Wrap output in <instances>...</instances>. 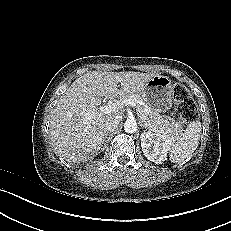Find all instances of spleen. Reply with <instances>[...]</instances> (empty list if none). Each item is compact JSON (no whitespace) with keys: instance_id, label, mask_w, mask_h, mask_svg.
Segmentation results:
<instances>
[{"instance_id":"1","label":"spleen","mask_w":231,"mask_h":231,"mask_svg":"<svg viewBox=\"0 0 231 231\" xmlns=\"http://www.w3.org/2000/svg\"><path fill=\"white\" fill-rule=\"evenodd\" d=\"M201 136V123L190 122L184 132L177 138L169 137V158L173 163H179L188 158L198 147Z\"/></svg>"}]
</instances>
